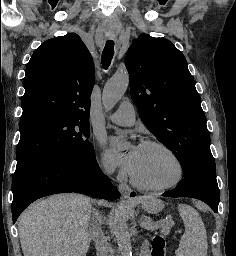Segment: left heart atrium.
Instances as JSON below:
<instances>
[{
    "label": "left heart atrium",
    "mask_w": 236,
    "mask_h": 256,
    "mask_svg": "<svg viewBox=\"0 0 236 256\" xmlns=\"http://www.w3.org/2000/svg\"><path fill=\"white\" fill-rule=\"evenodd\" d=\"M122 142V137L113 138L111 141L109 154L118 164L122 165L128 170H131L135 161L138 147H132L128 152H124L122 150Z\"/></svg>",
    "instance_id": "1"
}]
</instances>
